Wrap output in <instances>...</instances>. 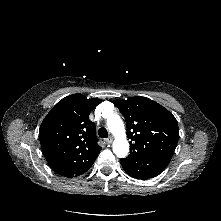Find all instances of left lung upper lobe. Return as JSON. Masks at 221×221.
<instances>
[{"mask_svg":"<svg viewBox=\"0 0 221 221\" xmlns=\"http://www.w3.org/2000/svg\"><path fill=\"white\" fill-rule=\"evenodd\" d=\"M126 120L130 160L169 164L179 139L178 123L172 113L146 97L115 100Z\"/></svg>","mask_w":221,"mask_h":221,"instance_id":"obj_1","label":"left lung upper lobe"}]
</instances>
